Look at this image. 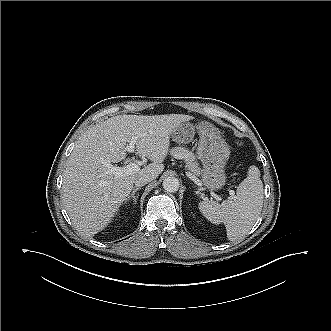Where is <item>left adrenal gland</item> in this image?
Segmentation results:
<instances>
[{
    "label": "left adrenal gland",
    "instance_id": "1",
    "mask_svg": "<svg viewBox=\"0 0 331 331\" xmlns=\"http://www.w3.org/2000/svg\"><path fill=\"white\" fill-rule=\"evenodd\" d=\"M196 194H198L199 192L198 191H195Z\"/></svg>",
    "mask_w": 331,
    "mask_h": 331
}]
</instances>
